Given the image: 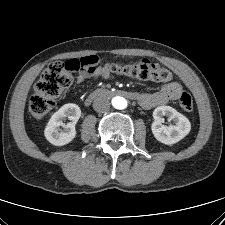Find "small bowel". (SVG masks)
Segmentation results:
<instances>
[{"label":"small bowel","instance_id":"1","mask_svg":"<svg viewBox=\"0 0 225 225\" xmlns=\"http://www.w3.org/2000/svg\"><path fill=\"white\" fill-rule=\"evenodd\" d=\"M91 77L110 79L112 78V73L105 66H96L91 70L80 71L77 75V81L82 83ZM181 92V85L172 81L164 84L157 92L140 93L138 95V102L143 108L150 109L178 99Z\"/></svg>","mask_w":225,"mask_h":225}]
</instances>
